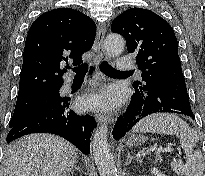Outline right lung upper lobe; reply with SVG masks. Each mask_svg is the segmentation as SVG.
<instances>
[{
    "mask_svg": "<svg viewBox=\"0 0 205 176\" xmlns=\"http://www.w3.org/2000/svg\"><path fill=\"white\" fill-rule=\"evenodd\" d=\"M96 25L87 15L70 8L43 13L31 25L23 52L18 97L60 88L68 61L82 63L95 38Z\"/></svg>",
    "mask_w": 205,
    "mask_h": 176,
    "instance_id": "obj_1",
    "label": "right lung upper lobe"
}]
</instances>
